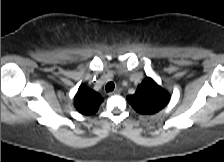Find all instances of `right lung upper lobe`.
Listing matches in <instances>:
<instances>
[{
	"instance_id": "right-lung-upper-lobe-1",
	"label": "right lung upper lobe",
	"mask_w": 224,
	"mask_h": 162,
	"mask_svg": "<svg viewBox=\"0 0 224 162\" xmlns=\"http://www.w3.org/2000/svg\"><path fill=\"white\" fill-rule=\"evenodd\" d=\"M103 98L99 93L89 89L85 85H80L77 94L75 95V107L84 115H91L97 112Z\"/></svg>"
}]
</instances>
